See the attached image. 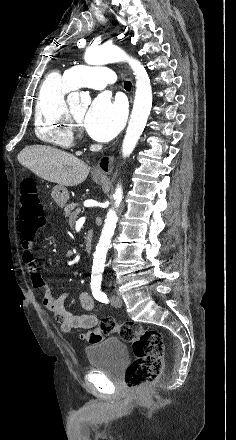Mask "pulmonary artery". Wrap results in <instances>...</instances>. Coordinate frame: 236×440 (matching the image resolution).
<instances>
[{
    "mask_svg": "<svg viewBox=\"0 0 236 440\" xmlns=\"http://www.w3.org/2000/svg\"><path fill=\"white\" fill-rule=\"evenodd\" d=\"M65 76L74 88L88 87L104 90L116 79L114 71L105 66H73L66 70Z\"/></svg>",
    "mask_w": 236,
    "mask_h": 440,
    "instance_id": "e3ab8cb5",
    "label": "pulmonary artery"
}]
</instances>
